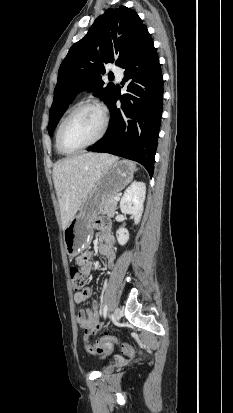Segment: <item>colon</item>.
Masks as SVG:
<instances>
[{
	"label": "colon",
	"instance_id": "1",
	"mask_svg": "<svg viewBox=\"0 0 233 413\" xmlns=\"http://www.w3.org/2000/svg\"><path fill=\"white\" fill-rule=\"evenodd\" d=\"M70 278L72 287L75 291H80L86 282V278L82 270L76 266H72L70 268ZM116 343V339L112 336L105 335L100 340H98L94 345H87L86 350L92 354H100L104 350H109L112 346ZM121 350L128 356H133L135 354V350L128 344L121 343L120 344Z\"/></svg>",
	"mask_w": 233,
	"mask_h": 413
}]
</instances>
